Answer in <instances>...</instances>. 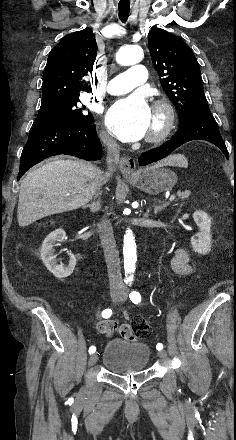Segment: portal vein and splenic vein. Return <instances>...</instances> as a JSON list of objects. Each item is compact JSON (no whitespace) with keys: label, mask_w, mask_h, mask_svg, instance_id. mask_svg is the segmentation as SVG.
Wrapping results in <instances>:
<instances>
[{"label":"portal vein and splenic vein","mask_w":236,"mask_h":440,"mask_svg":"<svg viewBox=\"0 0 236 440\" xmlns=\"http://www.w3.org/2000/svg\"><path fill=\"white\" fill-rule=\"evenodd\" d=\"M175 199V195L173 194V195H171V197H170V201H173Z\"/></svg>","instance_id":"portal-vein-and-splenic-vein-1"}]
</instances>
